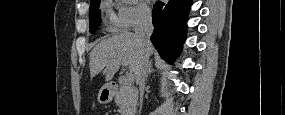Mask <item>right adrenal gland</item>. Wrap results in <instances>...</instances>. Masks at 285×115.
<instances>
[{
	"label": "right adrenal gland",
	"mask_w": 285,
	"mask_h": 115,
	"mask_svg": "<svg viewBox=\"0 0 285 115\" xmlns=\"http://www.w3.org/2000/svg\"><path fill=\"white\" fill-rule=\"evenodd\" d=\"M151 72H154V69H152V62H149L147 67L146 80Z\"/></svg>",
	"instance_id": "1"
}]
</instances>
